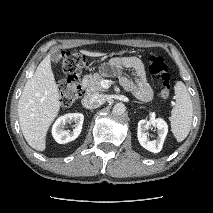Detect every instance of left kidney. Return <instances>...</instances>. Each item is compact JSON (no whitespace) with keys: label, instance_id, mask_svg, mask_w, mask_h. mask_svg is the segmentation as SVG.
I'll use <instances>...</instances> for the list:
<instances>
[{"label":"left kidney","instance_id":"left-kidney-1","mask_svg":"<svg viewBox=\"0 0 213 213\" xmlns=\"http://www.w3.org/2000/svg\"><path fill=\"white\" fill-rule=\"evenodd\" d=\"M150 126H154L157 128L158 136L153 141L148 140L146 133V130L149 129ZM167 132H168V125L161 118H157L150 121L140 120L138 122L137 137L139 143L141 144L142 147H144L146 150L150 152L158 153L161 151Z\"/></svg>","mask_w":213,"mask_h":213}]
</instances>
